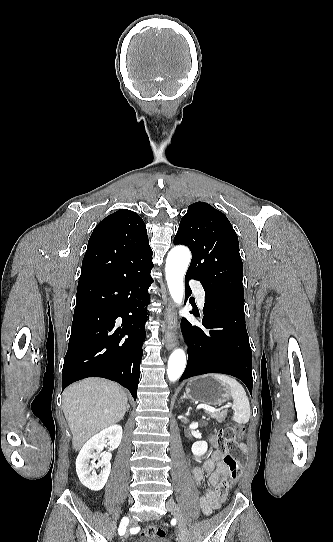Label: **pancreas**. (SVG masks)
Instances as JSON below:
<instances>
[{
	"instance_id": "pancreas-1",
	"label": "pancreas",
	"mask_w": 333,
	"mask_h": 542,
	"mask_svg": "<svg viewBox=\"0 0 333 542\" xmlns=\"http://www.w3.org/2000/svg\"><path fill=\"white\" fill-rule=\"evenodd\" d=\"M206 414H209L210 418H215L216 422H220V424H222V422H224L226 416H227V412H206Z\"/></svg>"
}]
</instances>
